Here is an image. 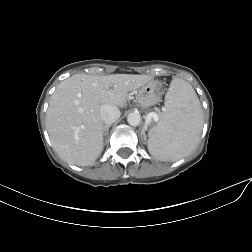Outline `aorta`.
I'll return each instance as SVG.
<instances>
[{
	"mask_svg": "<svg viewBox=\"0 0 252 252\" xmlns=\"http://www.w3.org/2000/svg\"><path fill=\"white\" fill-rule=\"evenodd\" d=\"M141 117L139 113L132 112L127 116V122L131 126H138L140 124Z\"/></svg>",
	"mask_w": 252,
	"mask_h": 252,
	"instance_id": "aorta-1",
	"label": "aorta"
}]
</instances>
